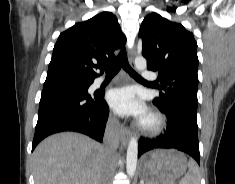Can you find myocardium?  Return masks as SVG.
Returning <instances> with one entry per match:
<instances>
[{
  "instance_id": "f54148a6",
  "label": "myocardium",
  "mask_w": 235,
  "mask_h": 184,
  "mask_svg": "<svg viewBox=\"0 0 235 184\" xmlns=\"http://www.w3.org/2000/svg\"><path fill=\"white\" fill-rule=\"evenodd\" d=\"M150 117V123L140 122L138 131L142 136L155 137L159 135L165 127V117L157 110H151L147 114Z\"/></svg>"
}]
</instances>
